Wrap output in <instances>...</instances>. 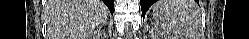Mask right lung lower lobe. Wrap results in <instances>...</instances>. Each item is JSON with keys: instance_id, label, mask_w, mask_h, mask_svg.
<instances>
[{"instance_id": "98d812e1", "label": "right lung lower lobe", "mask_w": 249, "mask_h": 39, "mask_svg": "<svg viewBox=\"0 0 249 39\" xmlns=\"http://www.w3.org/2000/svg\"><path fill=\"white\" fill-rule=\"evenodd\" d=\"M103 1L107 5V7L109 8L110 12L113 14L114 0H103Z\"/></svg>"}]
</instances>
